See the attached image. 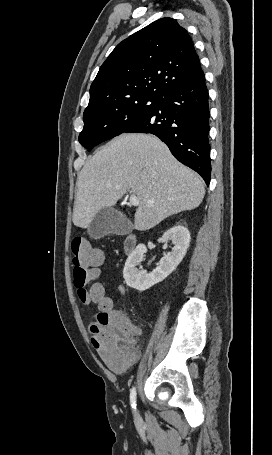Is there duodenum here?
I'll list each match as a JSON object with an SVG mask.
<instances>
[{"label":"duodenum","instance_id":"obj_1","mask_svg":"<svg viewBox=\"0 0 272 455\" xmlns=\"http://www.w3.org/2000/svg\"><path fill=\"white\" fill-rule=\"evenodd\" d=\"M137 237L134 234L128 235L124 240V251L127 255H130L137 246Z\"/></svg>","mask_w":272,"mask_h":455}]
</instances>
